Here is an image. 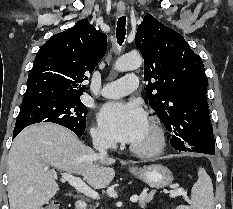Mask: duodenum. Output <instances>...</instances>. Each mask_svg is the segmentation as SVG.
<instances>
[{"label": "duodenum", "mask_w": 233, "mask_h": 209, "mask_svg": "<svg viewBox=\"0 0 233 209\" xmlns=\"http://www.w3.org/2000/svg\"><path fill=\"white\" fill-rule=\"evenodd\" d=\"M75 209H86V202L84 200H76Z\"/></svg>", "instance_id": "1"}]
</instances>
